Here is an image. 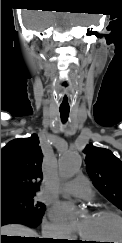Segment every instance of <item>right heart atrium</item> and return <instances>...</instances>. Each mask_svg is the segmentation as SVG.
<instances>
[{
  "mask_svg": "<svg viewBox=\"0 0 122 243\" xmlns=\"http://www.w3.org/2000/svg\"><path fill=\"white\" fill-rule=\"evenodd\" d=\"M45 232L47 235L54 238H66L69 235L56 222H49L45 225Z\"/></svg>",
  "mask_w": 122,
  "mask_h": 243,
  "instance_id": "right-heart-atrium-1",
  "label": "right heart atrium"
}]
</instances>
